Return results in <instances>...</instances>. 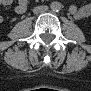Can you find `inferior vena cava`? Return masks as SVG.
Wrapping results in <instances>:
<instances>
[{"instance_id": "1", "label": "inferior vena cava", "mask_w": 91, "mask_h": 91, "mask_svg": "<svg viewBox=\"0 0 91 91\" xmlns=\"http://www.w3.org/2000/svg\"><path fill=\"white\" fill-rule=\"evenodd\" d=\"M48 10V6H37L33 9L34 14H39V13H43L46 12Z\"/></svg>"}]
</instances>
